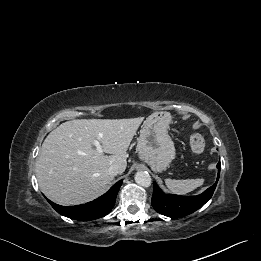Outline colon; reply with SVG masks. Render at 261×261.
<instances>
[{"label":"colon","mask_w":261,"mask_h":261,"mask_svg":"<svg viewBox=\"0 0 261 261\" xmlns=\"http://www.w3.org/2000/svg\"><path fill=\"white\" fill-rule=\"evenodd\" d=\"M190 149L192 154L195 157H200L206 148V140L205 137L200 133H194L191 135L190 140Z\"/></svg>","instance_id":"1"}]
</instances>
